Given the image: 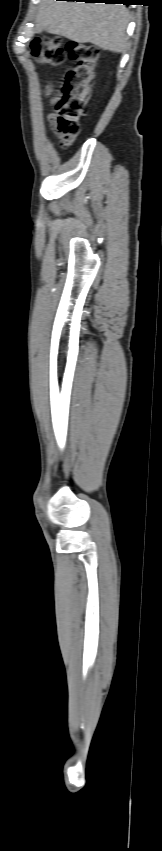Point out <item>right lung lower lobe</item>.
<instances>
[{
	"instance_id": "right-lung-lower-lobe-1",
	"label": "right lung lower lobe",
	"mask_w": 162,
	"mask_h": 851,
	"mask_svg": "<svg viewBox=\"0 0 162 851\" xmlns=\"http://www.w3.org/2000/svg\"><path fill=\"white\" fill-rule=\"evenodd\" d=\"M67 1H85V2H95V3L103 2V3H106V4L122 3L124 5H129L130 2L133 1V0H67Z\"/></svg>"
}]
</instances>
